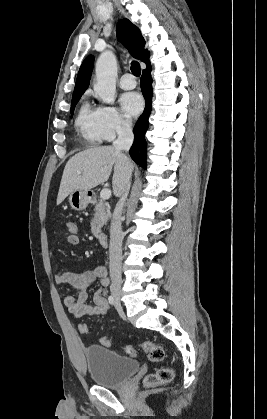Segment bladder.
I'll list each match as a JSON object with an SVG mask.
<instances>
[{
    "label": "bladder",
    "mask_w": 267,
    "mask_h": 419,
    "mask_svg": "<svg viewBox=\"0 0 267 419\" xmlns=\"http://www.w3.org/2000/svg\"><path fill=\"white\" fill-rule=\"evenodd\" d=\"M84 356L90 378L102 387H118L139 369V363L135 359L121 356L101 345L86 347Z\"/></svg>",
    "instance_id": "obj_1"
}]
</instances>
